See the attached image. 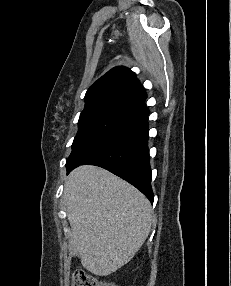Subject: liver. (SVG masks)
<instances>
[{"instance_id": "1", "label": "liver", "mask_w": 231, "mask_h": 286, "mask_svg": "<svg viewBox=\"0 0 231 286\" xmlns=\"http://www.w3.org/2000/svg\"><path fill=\"white\" fill-rule=\"evenodd\" d=\"M63 198L82 266L94 275L108 276L127 264L150 233L148 199L105 169L73 170Z\"/></svg>"}]
</instances>
